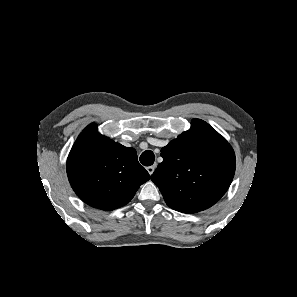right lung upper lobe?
<instances>
[{
    "label": "right lung upper lobe",
    "instance_id": "cb5924a9",
    "mask_svg": "<svg viewBox=\"0 0 297 297\" xmlns=\"http://www.w3.org/2000/svg\"><path fill=\"white\" fill-rule=\"evenodd\" d=\"M67 175L82 201L105 211L129 203L140 185L150 179L135 149L97 133L94 123L74 143L67 159Z\"/></svg>",
    "mask_w": 297,
    "mask_h": 297
}]
</instances>
